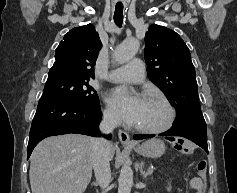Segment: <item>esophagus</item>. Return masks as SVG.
I'll use <instances>...</instances> for the list:
<instances>
[{
	"instance_id": "obj_1",
	"label": "esophagus",
	"mask_w": 237,
	"mask_h": 193,
	"mask_svg": "<svg viewBox=\"0 0 237 193\" xmlns=\"http://www.w3.org/2000/svg\"><path fill=\"white\" fill-rule=\"evenodd\" d=\"M119 140L124 145H134L133 141L127 132L119 130L118 132Z\"/></svg>"
}]
</instances>
